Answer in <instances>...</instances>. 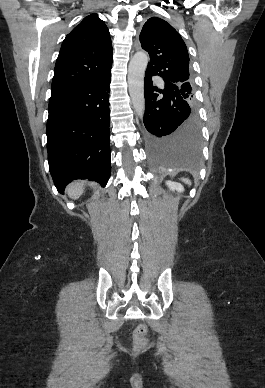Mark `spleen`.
<instances>
[{
	"label": "spleen",
	"instance_id": "obj_1",
	"mask_svg": "<svg viewBox=\"0 0 265 388\" xmlns=\"http://www.w3.org/2000/svg\"><path fill=\"white\" fill-rule=\"evenodd\" d=\"M182 182H185V184H190L189 180H187V178H184V180H182Z\"/></svg>",
	"mask_w": 265,
	"mask_h": 388
}]
</instances>
